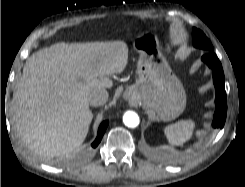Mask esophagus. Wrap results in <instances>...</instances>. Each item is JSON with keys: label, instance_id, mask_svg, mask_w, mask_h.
<instances>
[{"label": "esophagus", "instance_id": "34e87169", "mask_svg": "<svg viewBox=\"0 0 245 187\" xmlns=\"http://www.w3.org/2000/svg\"><path fill=\"white\" fill-rule=\"evenodd\" d=\"M126 99H131V97H129V96H126Z\"/></svg>", "mask_w": 245, "mask_h": 187}]
</instances>
